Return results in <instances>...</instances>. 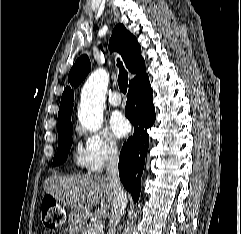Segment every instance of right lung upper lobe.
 <instances>
[{"mask_svg":"<svg viewBox=\"0 0 241 234\" xmlns=\"http://www.w3.org/2000/svg\"><path fill=\"white\" fill-rule=\"evenodd\" d=\"M109 47L112 51H118L122 55L128 70L136 74L130 83L146 74L145 62L141 56V47L135 36H133L122 24H118L114 28ZM90 70L91 64L88 56H81L77 59L69 72L68 82L71 86H78ZM73 100L74 92L70 87H66L61 98L58 112V131L72 126L70 113L73 108Z\"/></svg>","mask_w":241,"mask_h":234,"instance_id":"1","label":"right lung upper lobe"}]
</instances>
